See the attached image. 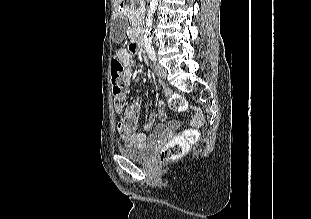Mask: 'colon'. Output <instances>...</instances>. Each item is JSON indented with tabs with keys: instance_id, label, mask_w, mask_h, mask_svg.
Here are the masks:
<instances>
[{
	"instance_id": "5ec220e1",
	"label": "colon",
	"mask_w": 311,
	"mask_h": 219,
	"mask_svg": "<svg viewBox=\"0 0 311 219\" xmlns=\"http://www.w3.org/2000/svg\"><path fill=\"white\" fill-rule=\"evenodd\" d=\"M111 76L113 83V96L115 109L121 112L126 105V86L124 81V66L122 62L114 58L111 62ZM172 110L180 112L187 108L186 100L181 95H170L168 99ZM199 139V131L189 128L181 135L171 139L160 151L161 162H167L184 155L190 145Z\"/></svg>"
}]
</instances>
